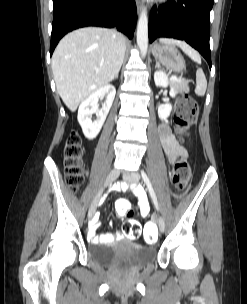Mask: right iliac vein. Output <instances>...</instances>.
I'll return each instance as SVG.
<instances>
[{
  "mask_svg": "<svg viewBox=\"0 0 247 304\" xmlns=\"http://www.w3.org/2000/svg\"><path fill=\"white\" fill-rule=\"evenodd\" d=\"M119 174H120V172L118 169H113L108 174L104 186L107 187V186L111 185L118 178ZM100 195H101V191L96 195V197L94 198V200L89 208L88 217L90 219L94 216V214L96 212Z\"/></svg>",
  "mask_w": 247,
  "mask_h": 304,
  "instance_id": "63e3f726",
  "label": "right iliac vein"
}]
</instances>
